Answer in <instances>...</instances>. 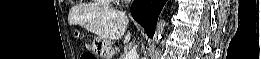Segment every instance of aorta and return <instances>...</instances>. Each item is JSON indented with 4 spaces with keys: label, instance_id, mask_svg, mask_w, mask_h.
I'll list each match as a JSON object with an SVG mask.
<instances>
[{
    "label": "aorta",
    "instance_id": "762f6f07",
    "mask_svg": "<svg viewBox=\"0 0 261 59\" xmlns=\"http://www.w3.org/2000/svg\"><path fill=\"white\" fill-rule=\"evenodd\" d=\"M165 25H166V22L164 21V19H160L158 21L157 28H156V31H155V42L157 44L159 42H161V39H162V36H163V33H164Z\"/></svg>",
    "mask_w": 261,
    "mask_h": 59
}]
</instances>
